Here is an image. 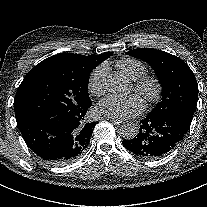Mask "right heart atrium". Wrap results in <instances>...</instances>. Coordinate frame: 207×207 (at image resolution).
Wrapping results in <instances>:
<instances>
[{
  "mask_svg": "<svg viewBox=\"0 0 207 207\" xmlns=\"http://www.w3.org/2000/svg\"><path fill=\"white\" fill-rule=\"evenodd\" d=\"M109 74V64L103 62L96 66L88 78L89 91L95 96L103 95L107 90V80Z\"/></svg>",
  "mask_w": 207,
  "mask_h": 207,
  "instance_id": "d8ad5b80",
  "label": "right heart atrium"
}]
</instances>
